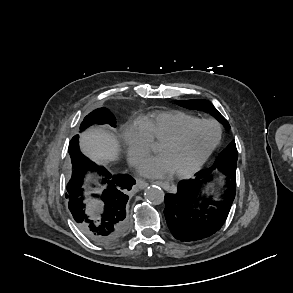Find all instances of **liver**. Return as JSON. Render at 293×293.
I'll use <instances>...</instances> for the list:
<instances>
[{"instance_id":"liver-1","label":"liver","mask_w":293,"mask_h":293,"mask_svg":"<svg viewBox=\"0 0 293 293\" xmlns=\"http://www.w3.org/2000/svg\"><path fill=\"white\" fill-rule=\"evenodd\" d=\"M80 149L92 161L106 164L117 159L119 142L112 133L91 128L80 136Z\"/></svg>"}]
</instances>
